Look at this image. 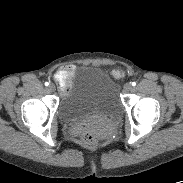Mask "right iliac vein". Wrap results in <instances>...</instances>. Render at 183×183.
Wrapping results in <instances>:
<instances>
[{"label": "right iliac vein", "instance_id": "63e3f726", "mask_svg": "<svg viewBox=\"0 0 183 183\" xmlns=\"http://www.w3.org/2000/svg\"><path fill=\"white\" fill-rule=\"evenodd\" d=\"M48 90L51 91V92H53L55 90V86L53 84H50L48 86Z\"/></svg>", "mask_w": 183, "mask_h": 183}]
</instances>
